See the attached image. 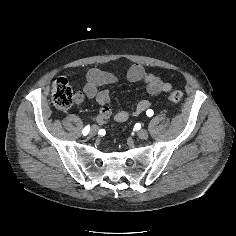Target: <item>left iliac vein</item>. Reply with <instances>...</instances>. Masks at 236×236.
<instances>
[{"mask_svg": "<svg viewBox=\"0 0 236 236\" xmlns=\"http://www.w3.org/2000/svg\"><path fill=\"white\" fill-rule=\"evenodd\" d=\"M137 136L142 139V140H145L148 138L149 134L148 132L145 130V129H140L138 132H137Z\"/></svg>", "mask_w": 236, "mask_h": 236, "instance_id": "1", "label": "left iliac vein"}]
</instances>
